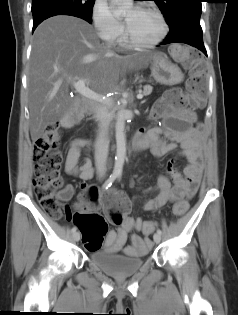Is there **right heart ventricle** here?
I'll list each match as a JSON object with an SVG mask.
<instances>
[{"label": "right heart ventricle", "mask_w": 238, "mask_h": 315, "mask_svg": "<svg viewBox=\"0 0 238 315\" xmlns=\"http://www.w3.org/2000/svg\"><path fill=\"white\" fill-rule=\"evenodd\" d=\"M119 42H120L121 44H123V43H124V40H123V39H120Z\"/></svg>", "instance_id": "1"}]
</instances>
